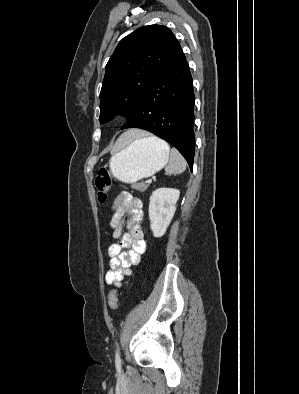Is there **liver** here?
Segmentation results:
<instances>
[{
  "mask_svg": "<svg viewBox=\"0 0 299 394\" xmlns=\"http://www.w3.org/2000/svg\"><path fill=\"white\" fill-rule=\"evenodd\" d=\"M145 136H147V133L144 131L137 130V129L129 130L121 136V139H120L121 145H126L135 139H139V138L145 137Z\"/></svg>",
  "mask_w": 299,
  "mask_h": 394,
  "instance_id": "1",
  "label": "liver"
}]
</instances>
